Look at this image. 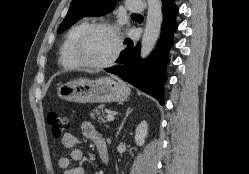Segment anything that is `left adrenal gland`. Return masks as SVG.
<instances>
[{"label":"left adrenal gland","mask_w":249,"mask_h":174,"mask_svg":"<svg viewBox=\"0 0 249 174\" xmlns=\"http://www.w3.org/2000/svg\"><path fill=\"white\" fill-rule=\"evenodd\" d=\"M133 111V109L132 108H127V110H126V114H125V117H124V119H123V121H122V123H121V125L119 126V128H118V131H117V134H116V136H118L119 134H120V132H121V130H122V128H123V125H124V123H125V121H126V119H127V117L129 116V114L131 113Z\"/></svg>","instance_id":"1"}]
</instances>
